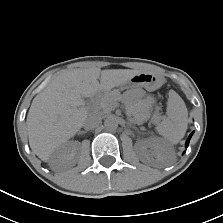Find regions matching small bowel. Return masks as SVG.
<instances>
[{
  "mask_svg": "<svg viewBox=\"0 0 223 223\" xmlns=\"http://www.w3.org/2000/svg\"><path fill=\"white\" fill-rule=\"evenodd\" d=\"M148 101L150 102L151 101V98H149Z\"/></svg>",
  "mask_w": 223,
  "mask_h": 223,
  "instance_id": "obj_1",
  "label": "small bowel"
}]
</instances>
